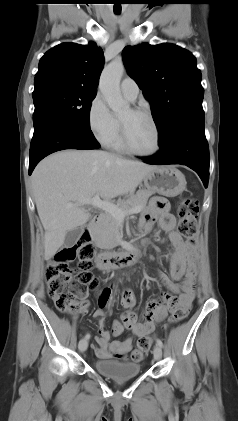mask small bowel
I'll return each mask as SVG.
<instances>
[{
  "label": "small bowel",
  "mask_w": 238,
  "mask_h": 421,
  "mask_svg": "<svg viewBox=\"0 0 238 421\" xmlns=\"http://www.w3.org/2000/svg\"><path fill=\"white\" fill-rule=\"evenodd\" d=\"M156 221H159L160 227L168 234L173 247L170 255V278L162 272L158 273V279L167 291L161 292L159 297L150 300L139 317L132 311L136 304L132 291L128 288L123 289L121 305L125 313L112 325L114 336L121 335L125 329L131 330L137 337L149 335L155 330L156 325L167 317L169 311L176 306L190 307L195 297L194 285L197 273L195 249L184 240L180 233L175 231V218L169 212L167 201L161 197L153 198L142 214L140 218L142 232H149ZM117 288V285L113 284L102 290L98 300V309L94 312L99 331L95 337L96 344L93 345V349L102 359L119 356L132 348V338H127L122 342L111 341V334L105 329L107 309ZM86 306L87 304H84V307Z\"/></svg>",
  "instance_id": "small-bowel-1"
}]
</instances>
